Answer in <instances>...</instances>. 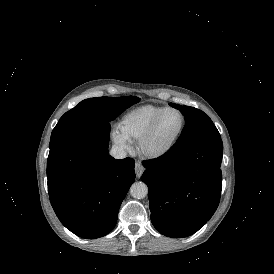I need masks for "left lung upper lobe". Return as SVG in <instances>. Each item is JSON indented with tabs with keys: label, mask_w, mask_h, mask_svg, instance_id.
<instances>
[{
	"label": "left lung upper lobe",
	"mask_w": 274,
	"mask_h": 274,
	"mask_svg": "<svg viewBox=\"0 0 274 274\" xmlns=\"http://www.w3.org/2000/svg\"><path fill=\"white\" fill-rule=\"evenodd\" d=\"M170 105L179 109L185 116V127L173 148H179L201 140L221 138L217 128L203 111L174 103H170Z\"/></svg>",
	"instance_id": "1"
}]
</instances>
